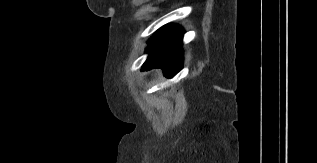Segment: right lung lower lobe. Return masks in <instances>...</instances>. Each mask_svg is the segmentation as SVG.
<instances>
[{"label": "right lung lower lobe", "instance_id": "right-lung-lower-lobe-1", "mask_svg": "<svg viewBox=\"0 0 317 163\" xmlns=\"http://www.w3.org/2000/svg\"><path fill=\"white\" fill-rule=\"evenodd\" d=\"M184 31L176 25H166L148 41L149 56L143 70L162 68L166 77H173L183 67L181 49Z\"/></svg>", "mask_w": 317, "mask_h": 163}]
</instances>
